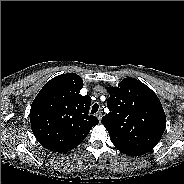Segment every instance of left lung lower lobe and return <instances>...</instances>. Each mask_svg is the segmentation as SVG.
<instances>
[{
    "label": "left lung lower lobe",
    "mask_w": 184,
    "mask_h": 184,
    "mask_svg": "<svg viewBox=\"0 0 184 184\" xmlns=\"http://www.w3.org/2000/svg\"><path fill=\"white\" fill-rule=\"evenodd\" d=\"M119 151H121L122 153L126 154V155H131V156H138V155H141L139 153H136L134 151H130V150H127L125 148H120V147H116Z\"/></svg>",
    "instance_id": "0a47b994"
}]
</instances>
